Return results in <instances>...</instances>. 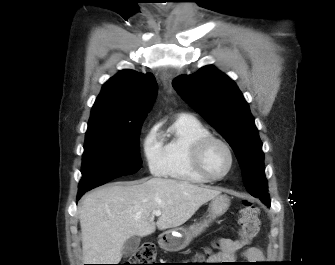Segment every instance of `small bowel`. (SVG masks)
Wrapping results in <instances>:
<instances>
[{"instance_id": "small-bowel-1", "label": "small bowel", "mask_w": 335, "mask_h": 265, "mask_svg": "<svg viewBox=\"0 0 335 265\" xmlns=\"http://www.w3.org/2000/svg\"><path fill=\"white\" fill-rule=\"evenodd\" d=\"M245 245L246 242L242 239L219 238L215 244L217 252L209 258V261L215 265L230 263L236 259L239 252L244 259L250 262L256 263L263 259V252L258 246L244 249Z\"/></svg>"}]
</instances>
